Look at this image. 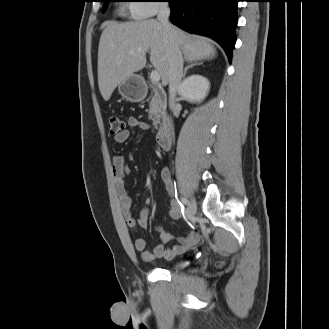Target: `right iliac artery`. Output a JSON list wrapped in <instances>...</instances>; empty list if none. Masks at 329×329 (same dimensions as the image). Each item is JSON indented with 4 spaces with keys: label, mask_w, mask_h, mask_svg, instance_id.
Here are the masks:
<instances>
[{
    "label": "right iliac artery",
    "mask_w": 329,
    "mask_h": 329,
    "mask_svg": "<svg viewBox=\"0 0 329 329\" xmlns=\"http://www.w3.org/2000/svg\"><path fill=\"white\" fill-rule=\"evenodd\" d=\"M180 201H181V203L184 204V205H188V204H189V201H188L185 197H181V198H180Z\"/></svg>",
    "instance_id": "right-iliac-artery-1"
}]
</instances>
